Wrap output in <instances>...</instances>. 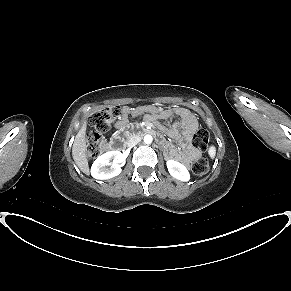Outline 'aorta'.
Here are the masks:
<instances>
[{"mask_svg": "<svg viewBox=\"0 0 291 291\" xmlns=\"http://www.w3.org/2000/svg\"><path fill=\"white\" fill-rule=\"evenodd\" d=\"M152 141H153V137L151 135L148 134V135H145L144 136V142H145V144H151Z\"/></svg>", "mask_w": 291, "mask_h": 291, "instance_id": "762f6f07", "label": "aorta"}]
</instances>
